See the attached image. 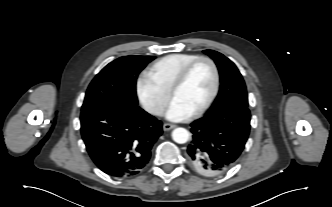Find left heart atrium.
Returning a JSON list of instances; mask_svg holds the SVG:
<instances>
[{
    "label": "left heart atrium",
    "instance_id": "1",
    "mask_svg": "<svg viewBox=\"0 0 332 207\" xmlns=\"http://www.w3.org/2000/svg\"><path fill=\"white\" fill-rule=\"evenodd\" d=\"M193 112L183 106L178 100L172 99L170 102L165 116L171 121H182L188 119Z\"/></svg>",
    "mask_w": 332,
    "mask_h": 207
}]
</instances>
